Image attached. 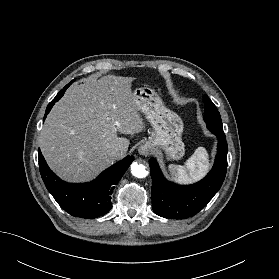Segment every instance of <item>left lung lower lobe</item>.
Masks as SVG:
<instances>
[{
  "label": "left lung lower lobe",
  "mask_w": 279,
  "mask_h": 279,
  "mask_svg": "<svg viewBox=\"0 0 279 279\" xmlns=\"http://www.w3.org/2000/svg\"><path fill=\"white\" fill-rule=\"evenodd\" d=\"M212 132V131H211ZM217 155L209 174L193 185H177L163 176L155 158L149 160L152 177V208L164 218L186 219L197 214L220 189L227 171L228 146L225 134L215 133Z\"/></svg>",
  "instance_id": "obj_1"
}]
</instances>
